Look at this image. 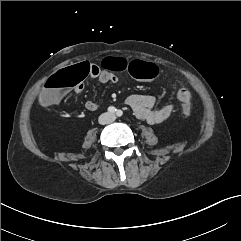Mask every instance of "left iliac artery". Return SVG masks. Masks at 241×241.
I'll return each instance as SVG.
<instances>
[{"mask_svg": "<svg viewBox=\"0 0 241 241\" xmlns=\"http://www.w3.org/2000/svg\"><path fill=\"white\" fill-rule=\"evenodd\" d=\"M116 114H117V116H119V117H120V116H122V115H123V112H122L121 110H117V113H116Z\"/></svg>", "mask_w": 241, "mask_h": 241, "instance_id": "1", "label": "left iliac artery"}]
</instances>
